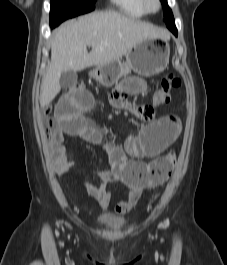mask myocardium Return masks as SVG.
<instances>
[{
	"mask_svg": "<svg viewBox=\"0 0 227 265\" xmlns=\"http://www.w3.org/2000/svg\"><path fill=\"white\" fill-rule=\"evenodd\" d=\"M154 4L152 6L151 4ZM142 5L146 13H156L161 9V0H142Z\"/></svg>",
	"mask_w": 227,
	"mask_h": 265,
	"instance_id": "1",
	"label": "myocardium"
}]
</instances>
